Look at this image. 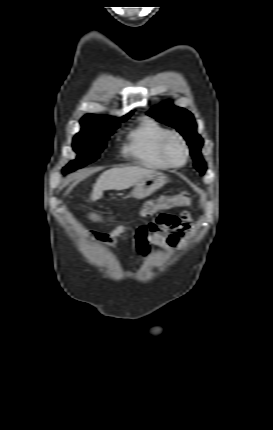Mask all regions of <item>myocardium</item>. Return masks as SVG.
Wrapping results in <instances>:
<instances>
[{"mask_svg":"<svg viewBox=\"0 0 273 430\" xmlns=\"http://www.w3.org/2000/svg\"><path fill=\"white\" fill-rule=\"evenodd\" d=\"M172 139H176L182 144L184 155H183V158L180 162L172 161L167 154V146H168V143ZM160 155H161L162 159L164 160V162L167 165H169L170 167L178 168V167H182L183 165H185L189 159V147H188V144H187L185 138L177 132H170L169 134H167L161 141Z\"/></svg>","mask_w":273,"mask_h":430,"instance_id":"obj_1","label":"myocardium"}]
</instances>
